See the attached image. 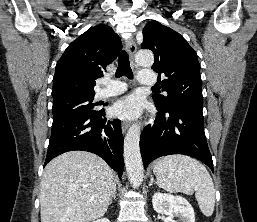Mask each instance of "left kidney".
I'll return each mask as SVG.
<instances>
[{
  "mask_svg": "<svg viewBox=\"0 0 257 222\" xmlns=\"http://www.w3.org/2000/svg\"><path fill=\"white\" fill-rule=\"evenodd\" d=\"M153 208L157 213L168 215L171 222L178 217L182 222H195V214L190 203L181 196L156 192L152 198Z\"/></svg>",
  "mask_w": 257,
  "mask_h": 222,
  "instance_id": "left-kidney-1",
  "label": "left kidney"
}]
</instances>
